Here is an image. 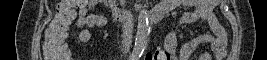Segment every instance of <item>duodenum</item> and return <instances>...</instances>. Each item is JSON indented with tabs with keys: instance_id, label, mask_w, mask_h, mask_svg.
<instances>
[{
	"instance_id": "410a0bca",
	"label": "duodenum",
	"mask_w": 267,
	"mask_h": 60,
	"mask_svg": "<svg viewBox=\"0 0 267 60\" xmlns=\"http://www.w3.org/2000/svg\"><path fill=\"white\" fill-rule=\"evenodd\" d=\"M103 2H105V3H108L109 4V6L111 7V10H112V12H113V15L115 16V17H117V16H119L120 14H122V13H125V14H127L128 16H130L129 15V12L130 11H128L127 9H125V8H120L119 6H117L116 5V0H105V1H103ZM168 9L166 8V7H162V6H157V7H153V8H151V9H149L148 11H147V16L149 17V18H151L152 20H154V21H159L161 18H162V16L165 14V12L167 11Z\"/></svg>"
}]
</instances>
